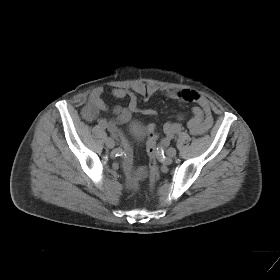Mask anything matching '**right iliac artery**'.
<instances>
[{
  "instance_id": "right-iliac-artery-1",
  "label": "right iliac artery",
  "mask_w": 280,
  "mask_h": 280,
  "mask_svg": "<svg viewBox=\"0 0 280 280\" xmlns=\"http://www.w3.org/2000/svg\"><path fill=\"white\" fill-rule=\"evenodd\" d=\"M99 126L102 128V129H106L108 127V123L106 120L102 119L99 121ZM122 145L123 147L128 150V145L126 142H122Z\"/></svg>"
}]
</instances>
